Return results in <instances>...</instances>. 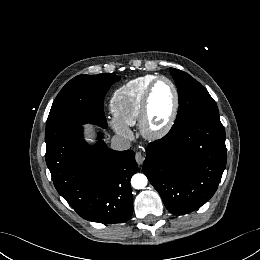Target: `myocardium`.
I'll list each match as a JSON object with an SVG mask.
<instances>
[{
  "label": "myocardium",
  "instance_id": "f54148a6",
  "mask_svg": "<svg viewBox=\"0 0 260 260\" xmlns=\"http://www.w3.org/2000/svg\"><path fill=\"white\" fill-rule=\"evenodd\" d=\"M161 81L167 82L172 87L174 93V107L168 122L162 128L154 130L149 127L150 102H151L152 94L157 84ZM179 111H180V93L176 84L168 77L165 76L156 77L149 85L142 100V106H141L140 116L138 121L141 135L144 138L149 140H158L165 137L170 133V131L174 127L179 115Z\"/></svg>",
  "mask_w": 260,
  "mask_h": 260
}]
</instances>
